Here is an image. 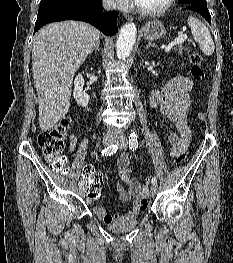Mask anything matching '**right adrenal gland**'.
Returning <instances> with one entry per match:
<instances>
[{
    "label": "right adrenal gland",
    "mask_w": 233,
    "mask_h": 263,
    "mask_svg": "<svg viewBox=\"0 0 233 263\" xmlns=\"http://www.w3.org/2000/svg\"><path fill=\"white\" fill-rule=\"evenodd\" d=\"M99 44H100V41H97L95 43L94 47L89 52L90 55L93 53V51H99Z\"/></svg>",
    "instance_id": "1"
}]
</instances>
